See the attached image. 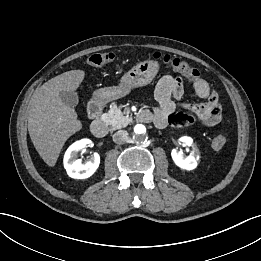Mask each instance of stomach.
<instances>
[{
    "instance_id": "1",
    "label": "stomach",
    "mask_w": 261,
    "mask_h": 261,
    "mask_svg": "<svg viewBox=\"0 0 261 261\" xmlns=\"http://www.w3.org/2000/svg\"><path fill=\"white\" fill-rule=\"evenodd\" d=\"M158 70L159 64L155 60L140 62L122 76L118 86L100 88L94 92L93 97L100 103L122 98L133 89L150 84Z\"/></svg>"
}]
</instances>
